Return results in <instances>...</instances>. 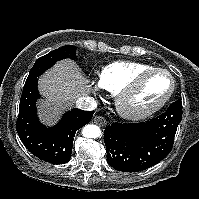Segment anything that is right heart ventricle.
<instances>
[{
	"label": "right heart ventricle",
	"mask_w": 199,
	"mask_h": 199,
	"mask_svg": "<svg viewBox=\"0 0 199 199\" xmlns=\"http://www.w3.org/2000/svg\"><path fill=\"white\" fill-rule=\"evenodd\" d=\"M153 68L149 64L120 61L106 65L98 74L99 86L107 92L117 94L137 73Z\"/></svg>",
	"instance_id": "1"
}]
</instances>
